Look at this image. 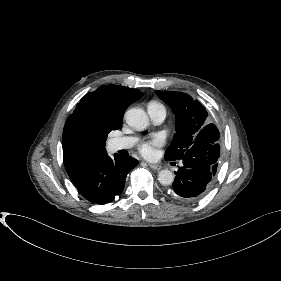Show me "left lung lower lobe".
I'll return each mask as SVG.
<instances>
[{
    "mask_svg": "<svg viewBox=\"0 0 281 281\" xmlns=\"http://www.w3.org/2000/svg\"><path fill=\"white\" fill-rule=\"evenodd\" d=\"M220 158L219 143L194 145L181 159L183 166L175 172L173 195L184 202L201 198L210 188Z\"/></svg>",
    "mask_w": 281,
    "mask_h": 281,
    "instance_id": "left-lung-lower-lobe-1",
    "label": "left lung lower lobe"
}]
</instances>
